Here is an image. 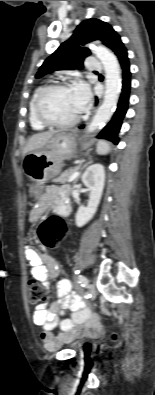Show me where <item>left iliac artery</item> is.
Here are the masks:
<instances>
[{
	"label": "left iliac artery",
	"mask_w": 155,
	"mask_h": 395,
	"mask_svg": "<svg viewBox=\"0 0 155 395\" xmlns=\"http://www.w3.org/2000/svg\"><path fill=\"white\" fill-rule=\"evenodd\" d=\"M78 283H80V285H81L82 287H87V285H88V279H87L85 276H83V275H79V276H78Z\"/></svg>",
	"instance_id": "left-iliac-artery-1"
}]
</instances>
